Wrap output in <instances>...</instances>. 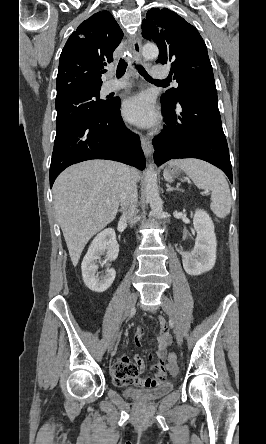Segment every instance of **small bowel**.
Wrapping results in <instances>:
<instances>
[{
  "instance_id": "c3829d8e",
  "label": "small bowel",
  "mask_w": 266,
  "mask_h": 444,
  "mask_svg": "<svg viewBox=\"0 0 266 444\" xmlns=\"http://www.w3.org/2000/svg\"><path fill=\"white\" fill-rule=\"evenodd\" d=\"M161 332L156 337L158 348L156 351L157 362L153 365L156 374L154 377H143L146 371L144 360L135 356L133 361L128 356H122L111 366V373L116 385L125 387L134 384L144 388H154L167 382L166 370L173 373L170 366L166 364L167 348L171 344L172 337L168 324L163 317L159 318ZM143 330L137 329L134 336L135 345L141 347Z\"/></svg>"
}]
</instances>
